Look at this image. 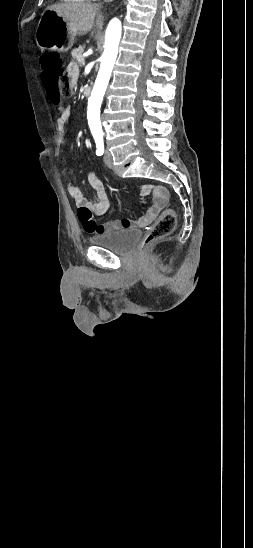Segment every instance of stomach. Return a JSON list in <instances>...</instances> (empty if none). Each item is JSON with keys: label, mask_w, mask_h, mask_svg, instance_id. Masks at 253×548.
I'll return each mask as SVG.
<instances>
[{"label": "stomach", "mask_w": 253, "mask_h": 548, "mask_svg": "<svg viewBox=\"0 0 253 548\" xmlns=\"http://www.w3.org/2000/svg\"><path fill=\"white\" fill-rule=\"evenodd\" d=\"M36 43L42 51L67 52L74 44V37L63 17L53 11H45L36 29Z\"/></svg>", "instance_id": "1"}]
</instances>
